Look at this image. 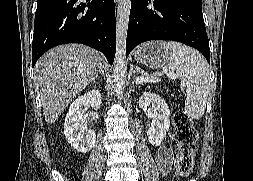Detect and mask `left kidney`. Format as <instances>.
<instances>
[{"instance_id": "left-kidney-1", "label": "left kidney", "mask_w": 253, "mask_h": 181, "mask_svg": "<svg viewBox=\"0 0 253 181\" xmlns=\"http://www.w3.org/2000/svg\"><path fill=\"white\" fill-rule=\"evenodd\" d=\"M150 105L152 122L147 131L148 141L153 146H160L170 127V110L161 96L145 91L139 98V106L147 109Z\"/></svg>"}]
</instances>
